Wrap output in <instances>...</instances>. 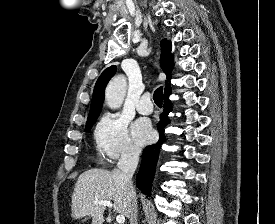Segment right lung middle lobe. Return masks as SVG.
<instances>
[{"instance_id":"right-lung-middle-lobe-1","label":"right lung middle lobe","mask_w":275,"mask_h":224,"mask_svg":"<svg viewBox=\"0 0 275 224\" xmlns=\"http://www.w3.org/2000/svg\"><path fill=\"white\" fill-rule=\"evenodd\" d=\"M96 120L86 123L85 131H89Z\"/></svg>"}]
</instances>
